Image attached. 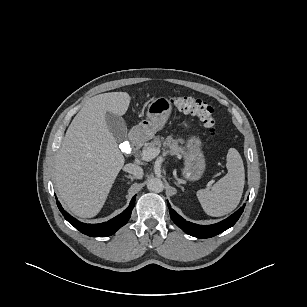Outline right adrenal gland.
Wrapping results in <instances>:
<instances>
[{
  "mask_svg": "<svg viewBox=\"0 0 307 307\" xmlns=\"http://www.w3.org/2000/svg\"><path fill=\"white\" fill-rule=\"evenodd\" d=\"M125 177H127V178L131 179V181H133V179H135V177H134V176H132V175H125Z\"/></svg>",
  "mask_w": 307,
  "mask_h": 307,
  "instance_id": "obj_1",
  "label": "right adrenal gland"
}]
</instances>
